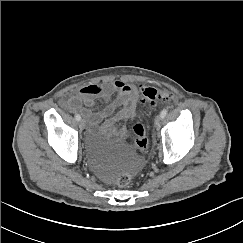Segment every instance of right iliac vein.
Masks as SVG:
<instances>
[{
  "instance_id": "obj_1",
  "label": "right iliac vein",
  "mask_w": 243,
  "mask_h": 243,
  "mask_svg": "<svg viewBox=\"0 0 243 243\" xmlns=\"http://www.w3.org/2000/svg\"><path fill=\"white\" fill-rule=\"evenodd\" d=\"M79 127H80L81 130L85 129V127H86V122H85L83 119L80 120Z\"/></svg>"
}]
</instances>
